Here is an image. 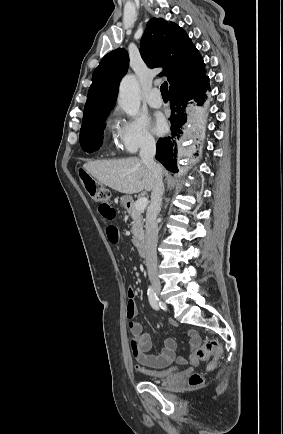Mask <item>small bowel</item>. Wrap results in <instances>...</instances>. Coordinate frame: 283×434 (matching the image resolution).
I'll return each mask as SVG.
<instances>
[{"instance_id": "obj_1", "label": "small bowel", "mask_w": 283, "mask_h": 434, "mask_svg": "<svg viewBox=\"0 0 283 434\" xmlns=\"http://www.w3.org/2000/svg\"><path fill=\"white\" fill-rule=\"evenodd\" d=\"M100 215L108 220H114L117 215L116 209L110 204H99ZM106 234L109 242L117 243L119 240V231L117 227L110 225L106 229ZM134 290L129 288L127 292V318L128 326L131 335V349L133 356L138 361L139 366L137 369L142 371L144 367L151 368H164L176 362L178 364H186L189 362L192 365H197L199 359L196 355V351L201 343L200 336L195 330H189L187 337L191 348V353L186 359L183 356H176V341L172 338L166 339L161 351L158 354L150 353L151 350V337L148 333L143 331L141 324L136 320L137 306L134 300ZM170 324L177 327L175 321H170Z\"/></svg>"}]
</instances>
